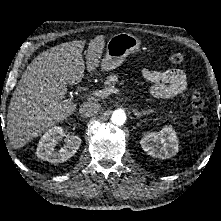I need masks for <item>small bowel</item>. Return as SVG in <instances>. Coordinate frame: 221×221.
Returning a JSON list of instances; mask_svg holds the SVG:
<instances>
[{
    "mask_svg": "<svg viewBox=\"0 0 221 221\" xmlns=\"http://www.w3.org/2000/svg\"><path fill=\"white\" fill-rule=\"evenodd\" d=\"M142 77L152 83L150 94L157 99H168L176 96H184L187 89L185 73L179 69H167L163 71L143 69Z\"/></svg>",
    "mask_w": 221,
    "mask_h": 221,
    "instance_id": "small-bowel-1",
    "label": "small bowel"
}]
</instances>
